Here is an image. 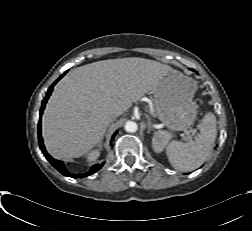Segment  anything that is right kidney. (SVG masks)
Listing matches in <instances>:
<instances>
[{"mask_svg":"<svg viewBox=\"0 0 252 231\" xmlns=\"http://www.w3.org/2000/svg\"><path fill=\"white\" fill-rule=\"evenodd\" d=\"M99 155H100L99 150H93L88 154L87 160L89 162L95 161L99 157Z\"/></svg>","mask_w":252,"mask_h":231,"instance_id":"right-kidney-1","label":"right kidney"}]
</instances>
